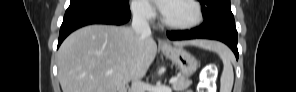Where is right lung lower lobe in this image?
Masks as SVG:
<instances>
[{
	"instance_id": "1",
	"label": "right lung lower lobe",
	"mask_w": 296,
	"mask_h": 92,
	"mask_svg": "<svg viewBox=\"0 0 296 92\" xmlns=\"http://www.w3.org/2000/svg\"><path fill=\"white\" fill-rule=\"evenodd\" d=\"M129 4L115 6L101 0H73L64 15L58 47L74 30L90 24L123 25L129 21Z\"/></svg>"
}]
</instances>
